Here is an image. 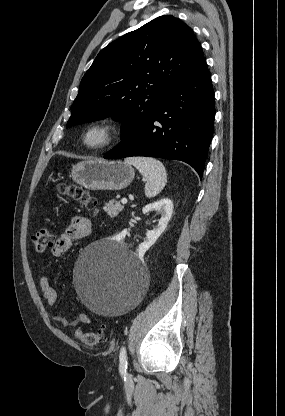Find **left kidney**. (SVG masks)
<instances>
[{
	"mask_svg": "<svg viewBox=\"0 0 285 416\" xmlns=\"http://www.w3.org/2000/svg\"><path fill=\"white\" fill-rule=\"evenodd\" d=\"M152 210H155V212H160L162 218H160L156 230H150V232H146V238L144 242H142L138 250H136L137 256H139V258L144 256L145 252H147V250H149V248L155 244L156 240H158L159 236H161L162 232H164L165 228H167V224L169 220H171V216L173 214V202L168 200V198H163V200H159V202L148 204V206L143 208L142 212L143 214H147V212H152ZM127 232L128 230H123L120 236L124 238Z\"/></svg>",
	"mask_w": 285,
	"mask_h": 416,
	"instance_id": "5707ae66",
	"label": "left kidney"
}]
</instances>
